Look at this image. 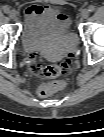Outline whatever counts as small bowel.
<instances>
[{
  "label": "small bowel",
  "instance_id": "obj_1",
  "mask_svg": "<svg viewBox=\"0 0 104 137\" xmlns=\"http://www.w3.org/2000/svg\"><path fill=\"white\" fill-rule=\"evenodd\" d=\"M59 17L64 23L68 21L65 14L50 6L30 5L26 9V26L29 33H35L47 26L48 21Z\"/></svg>",
  "mask_w": 104,
  "mask_h": 137
}]
</instances>
